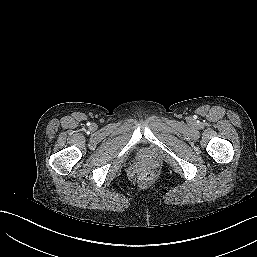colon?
Returning a JSON list of instances; mask_svg holds the SVG:
<instances>
[{
  "instance_id": "colon-1",
  "label": "colon",
  "mask_w": 257,
  "mask_h": 257,
  "mask_svg": "<svg viewBox=\"0 0 257 257\" xmlns=\"http://www.w3.org/2000/svg\"><path fill=\"white\" fill-rule=\"evenodd\" d=\"M154 175L149 170H143L138 174V180L141 183H149L153 179Z\"/></svg>"
}]
</instances>
